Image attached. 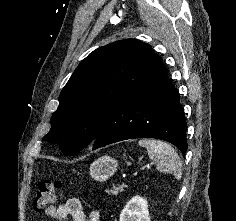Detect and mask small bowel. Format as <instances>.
Segmentation results:
<instances>
[{
    "mask_svg": "<svg viewBox=\"0 0 236 221\" xmlns=\"http://www.w3.org/2000/svg\"><path fill=\"white\" fill-rule=\"evenodd\" d=\"M45 213L56 221H99L100 215L97 210L90 212L86 216L83 210V204L78 197H70L64 203L58 206H50Z\"/></svg>",
    "mask_w": 236,
    "mask_h": 221,
    "instance_id": "small-bowel-1",
    "label": "small bowel"
}]
</instances>
